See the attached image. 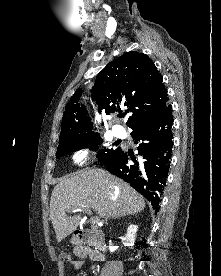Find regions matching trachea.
<instances>
[{
    "label": "trachea",
    "mask_w": 221,
    "mask_h": 276,
    "mask_svg": "<svg viewBox=\"0 0 221 276\" xmlns=\"http://www.w3.org/2000/svg\"><path fill=\"white\" fill-rule=\"evenodd\" d=\"M120 117H124V115H120Z\"/></svg>",
    "instance_id": "obj_1"
}]
</instances>
